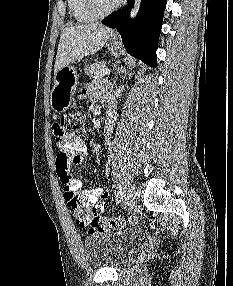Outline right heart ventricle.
<instances>
[{
    "label": "right heart ventricle",
    "instance_id": "1",
    "mask_svg": "<svg viewBox=\"0 0 233 286\" xmlns=\"http://www.w3.org/2000/svg\"><path fill=\"white\" fill-rule=\"evenodd\" d=\"M68 7L73 18L79 23H90L96 20V16L89 10L86 0H67Z\"/></svg>",
    "mask_w": 233,
    "mask_h": 286
}]
</instances>
